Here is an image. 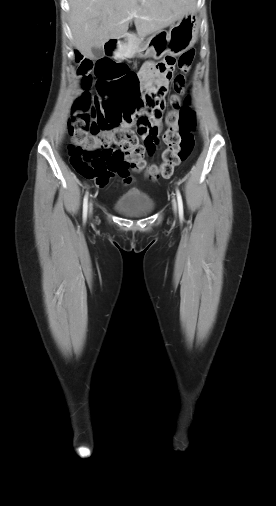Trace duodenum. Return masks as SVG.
Returning a JSON list of instances; mask_svg holds the SVG:
<instances>
[{"instance_id":"1","label":"duodenum","mask_w":276,"mask_h":506,"mask_svg":"<svg viewBox=\"0 0 276 506\" xmlns=\"http://www.w3.org/2000/svg\"><path fill=\"white\" fill-rule=\"evenodd\" d=\"M125 41V35H118L109 39L105 44L104 50L102 51V56L104 58H115L117 56H120L122 58H132L134 56V51L127 45L123 47L120 46L121 44L125 43Z\"/></svg>"}]
</instances>
